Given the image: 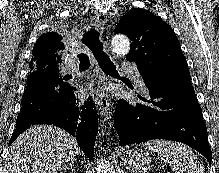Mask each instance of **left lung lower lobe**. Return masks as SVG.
I'll return each instance as SVG.
<instances>
[{
	"label": "left lung lower lobe",
	"mask_w": 219,
	"mask_h": 173,
	"mask_svg": "<svg viewBox=\"0 0 219 173\" xmlns=\"http://www.w3.org/2000/svg\"><path fill=\"white\" fill-rule=\"evenodd\" d=\"M143 79L148 81V78ZM146 86L150 100L139 95L138 98L149 104H131L121 99L116 106L114 126L119 145L151 139L175 140L197 150L211 164L207 129L192 84L164 89Z\"/></svg>",
	"instance_id": "0a47b994"
}]
</instances>
